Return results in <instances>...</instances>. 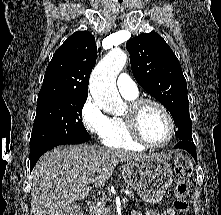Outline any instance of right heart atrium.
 Returning a JSON list of instances; mask_svg holds the SVG:
<instances>
[{
  "mask_svg": "<svg viewBox=\"0 0 221 215\" xmlns=\"http://www.w3.org/2000/svg\"><path fill=\"white\" fill-rule=\"evenodd\" d=\"M84 128L96 138H103L109 130V118L92 96H88L80 111Z\"/></svg>",
  "mask_w": 221,
  "mask_h": 215,
  "instance_id": "right-heart-atrium-1",
  "label": "right heart atrium"
}]
</instances>
